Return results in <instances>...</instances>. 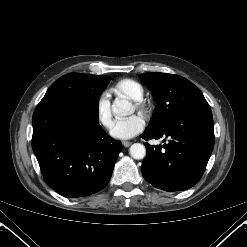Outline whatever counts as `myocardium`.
Returning a JSON list of instances; mask_svg holds the SVG:
<instances>
[{
  "instance_id": "myocardium-1",
  "label": "myocardium",
  "mask_w": 247,
  "mask_h": 247,
  "mask_svg": "<svg viewBox=\"0 0 247 247\" xmlns=\"http://www.w3.org/2000/svg\"><path fill=\"white\" fill-rule=\"evenodd\" d=\"M135 107L142 112H147L149 108L142 99L135 101Z\"/></svg>"
}]
</instances>
